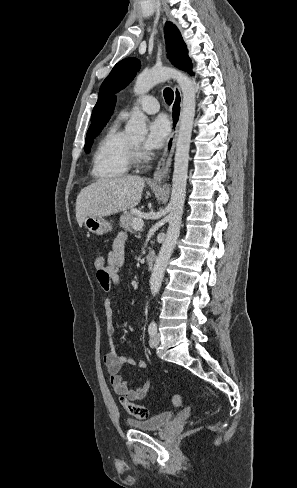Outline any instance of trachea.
Wrapping results in <instances>:
<instances>
[{"instance_id": "1", "label": "trachea", "mask_w": 297, "mask_h": 488, "mask_svg": "<svg viewBox=\"0 0 297 488\" xmlns=\"http://www.w3.org/2000/svg\"><path fill=\"white\" fill-rule=\"evenodd\" d=\"M164 99L167 104H171L174 99V93L171 88H165L163 91Z\"/></svg>"}]
</instances>
